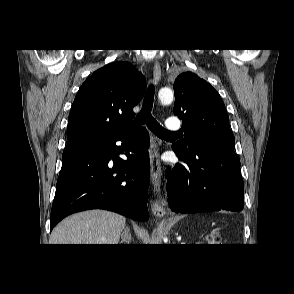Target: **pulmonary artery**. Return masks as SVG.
I'll list each match as a JSON object with an SVG mask.
<instances>
[{
	"instance_id": "obj_1",
	"label": "pulmonary artery",
	"mask_w": 294,
	"mask_h": 294,
	"mask_svg": "<svg viewBox=\"0 0 294 294\" xmlns=\"http://www.w3.org/2000/svg\"><path fill=\"white\" fill-rule=\"evenodd\" d=\"M167 126L170 130H179L182 127L180 120L176 117H170L167 122Z\"/></svg>"
}]
</instances>
